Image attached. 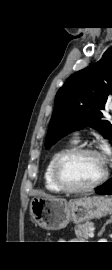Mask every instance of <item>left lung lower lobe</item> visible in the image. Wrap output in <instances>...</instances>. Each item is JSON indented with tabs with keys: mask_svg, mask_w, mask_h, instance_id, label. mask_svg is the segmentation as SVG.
I'll return each instance as SVG.
<instances>
[{
	"mask_svg": "<svg viewBox=\"0 0 112 270\" xmlns=\"http://www.w3.org/2000/svg\"><path fill=\"white\" fill-rule=\"evenodd\" d=\"M97 194H112V178L104 183L102 186H99V189L96 191Z\"/></svg>",
	"mask_w": 112,
	"mask_h": 270,
	"instance_id": "1",
	"label": "left lung lower lobe"
}]
</instances>
